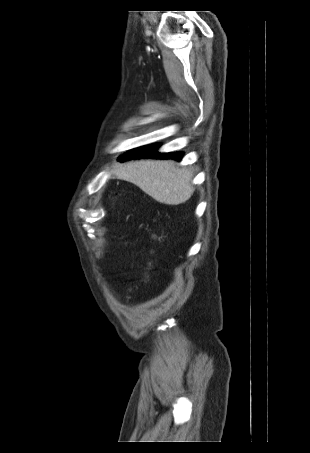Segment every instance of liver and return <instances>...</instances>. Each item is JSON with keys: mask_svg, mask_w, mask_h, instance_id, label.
<instances>
[{"mask_svg": "<svg viewBox=\"0 0 310 453\" xmlns=\"http://www.w3.org/2000/svg\"><path fill=\"white\" fill-rule=\"evenodd\" d=\"M119 179L131 182L156 201L168 205H179L190 199L194 192L193 174L179 168L171 160H136L119 165Z\"/></svg>", "mask_w": 310, "mask_h": 453, "instance_id": "obj_1", "label": "liver"}]
</instances>
